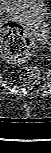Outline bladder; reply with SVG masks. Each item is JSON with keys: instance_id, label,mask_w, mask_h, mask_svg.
<instances>
[{"instance_id": "obj_1", "label": "bladder", "mask_w": 51, "mask_h": 153, "mask_svg": "<svg viewBox=\"0 0 51 153\" xmlns=\"http://www.w3.org/2000/svg\"><path fill=\"white\" fill-rule=\"evenodd\" d=\"M0 7L8 14H22L46 18L49 8L44 0H0Z\"/></svg>"}]
</instances>
